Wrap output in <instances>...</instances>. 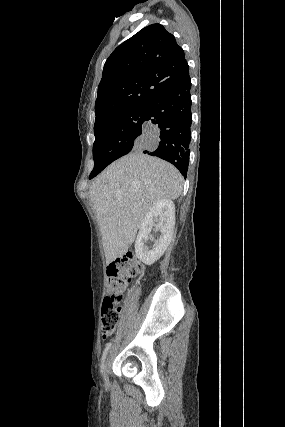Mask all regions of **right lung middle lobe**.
Instances as JSON below:
<instances>
[{"label": "right lung middle lobe", "mask_w": 285, "mask_h": 427, "mask_svg": "<svg viewBox=\"0 0 285 427\" xmlns=\"http://www.w3.org/2000/svg\"><path fill=\"white\" fill-rule=\"evenodd\" d=\"M147 104L118 113L94 127V169L89 179L141 143Z\"/></svg>", "instance_id": "1"}]
</instances>
